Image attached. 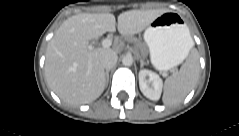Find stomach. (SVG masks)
Wrapping results in <instances>:
<instances>
[{
  "mask_svg": "<svg viewBox=\"0 0 239 136\" xmlns=\"http://www.w3.org/2000/svg\"><path fill=\"white\" fill-rule=\"evenodd\" d=\"M189 29L182 17L168 11L154 19L144 32L151 62L158 70H169L179 65L191 48Z\"/></svg>",
  "mask_w": 239,
  "mask_h": 136,
  "instance_id": "0dacf381",
  "label": "stomach"
}]
</instances>
